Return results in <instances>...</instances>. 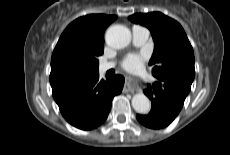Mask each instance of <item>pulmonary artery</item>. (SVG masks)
<instances>
[{
	"mask_svg": "<svg viewBox=\"0 0 230 155\" xmlns=\"http://www.w3.org/2000/svg\"><path fill=\"white\" fill-rule=\"evenodd\" d=\"M149 38V30L142 26L132 27V41L136 46H142ZM114 67L113 62H105L99 65V72L105 73Z\"/></svg>",
	"mask_w": 230,
	"mask_h": 155,
	"instance_id": "obj_1",
	"label": "pulmonary artery"
}]
</instances>
